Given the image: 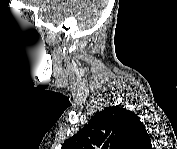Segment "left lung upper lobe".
<instances>
[{
  "instance_id": "left-lung-upper-lobe-1",
  "label": "left lung upper lobe",
  "mask_w": 177,
  "mask_h": 149,
  "mask_svg": "<svg viewBox=\"0 0 177 149\" xmlns=\"http://www.w3.org/2000/svg\"><path fill=\"white\" fill-rule=\"evenodd\" d=\"M145 126L132 111L119 106L97 112L87 126L62 145V149H143Z\"/></svg>"
}]
</instances>
